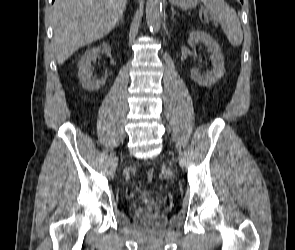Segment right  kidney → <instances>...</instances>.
I'll use <instances>...</instances> for the list:
<instances>
[{
    "instance_id": "1",
    "label": "right kidney",
    "mask_w": 295,
    "mask_h": 250,
    "mask_svg": "<svg viewBox=\"0 0 295 250\" xmlns=\"http://www.w3.org/2000/svg\"><path fill=\"white\" fill-rule=\"evenodd\" d=\"M100 53L111 55L110 46L106 43H103L98 47L87 50L78 63V77L80 83L82 87L88 91H97L106 81V76L102 77V79H95L93 78L91 72V63L96 61Z\"/></svg>"
}]
</instances>
